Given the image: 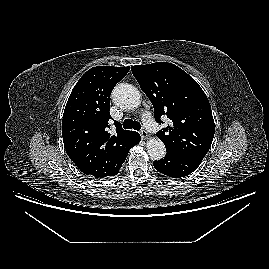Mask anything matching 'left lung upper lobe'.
Wrapping results in <instances>:
<instances>
[{"label": "left lung upper lobe", "mask_w": 269, "mask_h": 269, "mask_svg": "<svg viewBox=\"0 0 269 269\" xmlns=\"http://www.w3.org/2000/svg\"><path fill=\"white\" fill-rule=\"evenodd\" d=\"M142 91L154 107L157 123L171 120L157 136L167 154L204 158L210 149L215 124L210 103L198 83L172 63L157 62L131 67Z\"/></svg>", "instance_id": "5c2ea615"}]
</instances>
